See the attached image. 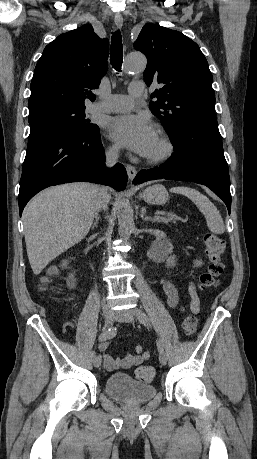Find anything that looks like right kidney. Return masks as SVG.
Here are the masks:
<instances>
[{
  "label": "right kidney",
  "instance_id": "obj_1",
  "mask_svg": "<svg viewBox=\"0 0 257 459\" xmlns=\"http://www.w3.org/2000/svg\"><path fill=\"white\" fill-rule=\"evenodd\" d=\"M75 282H76V279L74 278V274H70L69 277L67 278V286L70 288V289H74L75 288Z\"/></svg>",
  "mask_w": 257,
  "mask_h": 459
}]
</instances>
